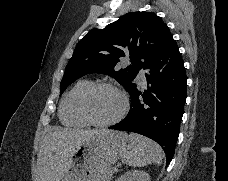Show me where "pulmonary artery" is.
<instances>
[{"mask_svg":"<svg viewBox=\"0 0 228 181\" xmlns=\"http://www.w3.org/2000/svg\"><path fill=\"white\" fill-rule=\"evenodd\" d=\"M139 80H140V83H141L142 85H145V81H144L143 78H139Z\"/></svg>","mask_w":228,"mask_h":181,"instance_id":"e3ab8cb5","label":"pulmonary artery"}]
</instances>
